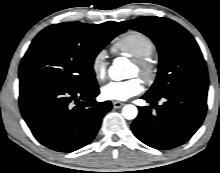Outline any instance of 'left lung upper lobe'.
Instances as JSON below:
<instances>
[{"label": "left lung upper lobe", "instance_id": "obj_1", "mask_svg": "<svg viewBox=\"0 0 220 173\" xmlns=\"http://www.w3.org/2000/svg\"><path fill=\"white\" fill-rule=\"evenodd\" d=\"M122 24L150 37L159 52L157 78L148 90L163 96L178 90L207 92V68L193 36L178 23L162 17H140Z\"/></svg>", "mask_w": 220, "mask_h": 173}]
</instances>
